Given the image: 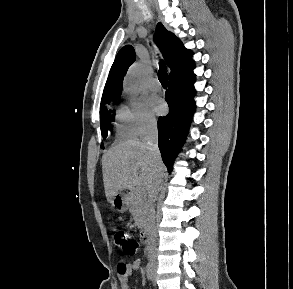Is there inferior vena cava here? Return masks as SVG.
I'll use <instances>...</instances> for the list:
<instances>
[{
  "label": "inferior vena cava",
  "instance_id": "602c4592",
  "mask_svg": "<svg viewBox=\"0 0 293 289\" xmlns=\"http://www.w3.org/2000/svg\"><path fill=\"white\" fill-rule=\"evenodd\" d=\"M147 148L153 155L154 165L156 168V174L153 179V183L148 191V204H147V227L146 232L148 234V257L151 262L156 263V239L157 231L155 226V207L154 202L157 199L158 193L161 190L163 183V173L161 172V156L158 148V129L156 121H150L146 126V131L142 138Z\"/></svg>",
  "mask_w": 293,
  "mask_h": 289
}]
</instances>
